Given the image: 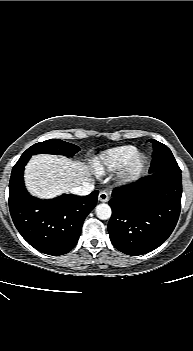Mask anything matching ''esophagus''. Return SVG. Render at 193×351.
Masks as SVG:
<instances>
[{
  "instance_id": "esophagus-1",
  "label": "esophagus",
  "mask_w": 193,
  "mask_h": 351,
  "mask_svg": "<svg viewBox=\"0 0 193 351\" xmlns=\"http://www.w3.org/2000/svg\"><path fill=\"white\" fill-rule=\"evenodd\" d=\"M98 200L101 202H107L109 200V194L105 191H101L98 195Z\"/></svg>"
}]
</instances>
